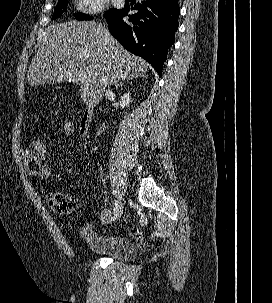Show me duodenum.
Here are the masks:
<instances>
[{
  "mask_svg": "<svg viewBox=\"0 0 272 303\" xmlns=\"http://www.w3.org/2000/svg\"><path fill=\"white\" fill-rule=\"evenodd\" d=\"M93 115V108L87 107L79 124L78 134L80 137H85L88 133L90 121Z\"/></svg>",
  "mask_w": 272,
  "mask_h": 303,
  "instance_id": "1",
  "label": "duodenum"
}]
</instances>
